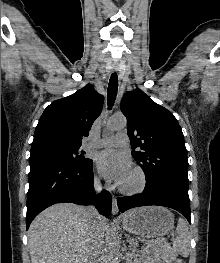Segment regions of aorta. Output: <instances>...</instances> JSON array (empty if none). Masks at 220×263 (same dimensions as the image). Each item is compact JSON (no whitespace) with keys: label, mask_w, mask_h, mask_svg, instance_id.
Segmentation results:
<instances>
[{"label":"aorta","mask_w":220,"mask_h":263,"mask_svg":"<svg viewBox=\"0 0 220 263\" xmlns=\"http://www.w3.org/2000/svg\"><path fill=\"white\" fill-rule=\"evenodd\" d=\"M127 125L126 118L124 116H115L108 122V128L110 130H120L125 128ZM107 244L109 250V256L116 260L119 254L120 243L118 239L117 228L112 225L108 230Z\"/></svg>","instance_id":"762f6f07"}]
</instances>
